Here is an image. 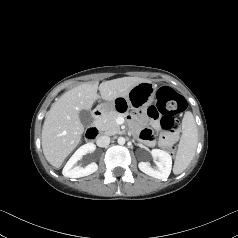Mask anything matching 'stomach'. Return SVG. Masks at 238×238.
Wrapping results in <instances>:
<instances>
[{"instance_id":"obj_1","label":"stomach","mask_w":238,"mask_h":238,"mask_svg":"<svg viewBox=\"0 0 238 238\" xmlns=\"http://www.w3.org/2000/svg\"><path fill=\"white\" fill-rule=\"evenodd\" d=\"M156 87L152 82H142L134 86L128 95L118 96L114 101L102 103L97 106L96 110L103 115L111 111H117L126 115L133 109H144L151 105L155 97Z\"/></svg>"}]
</instances>
